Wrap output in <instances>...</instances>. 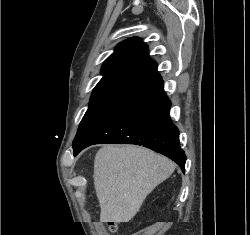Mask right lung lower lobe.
Instances as JSON below:
<instances>
[{"label": "right lung lower lobe", "instance_id": "right-lung-lower-lobe-1", "mask_svg": "<svg viewBox=\"0 0 250 235\" xmlns=\"http://www.w3.org/2000/svg\"><path fill=\"white\" fill-rule=\"evenodd\" d=\"M171 102L161 76L127 99L114 112L73 145L74 155L100 143L143 145L161 153L185 170L179 131L169 116Z\"/></svg>", "mask_w": 250, "mask_h": 235}]
</instances>
